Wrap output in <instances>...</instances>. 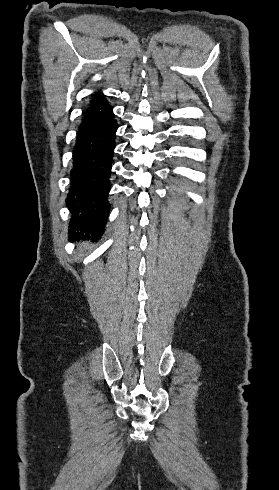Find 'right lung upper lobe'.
Here are the masks:
<instances>
[{"label": "right lung upper lobe", "mask_w": 279, "mask_h": 490, "mask_svg": "<svg viewBox=\"0 0 279 490\" xmlns=\"http://www.w3.org/2000/svg\"><path fill=\"white\" fill-rule=\"evenodd\" d=\"M115 121L112 107L106 99L102 94H94L79 127L77 138L95 133Z\"/></svg>", "instance_id": "obj_1"}]
</instances>
